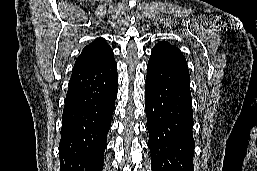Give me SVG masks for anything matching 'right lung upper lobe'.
Segmentation results:
<instances>
[{"mask_svg":"<svg viewBox=\"0 0 257 171\" xmlns=\"http://www.w3.org/2000/svg\"><path fill=\"white\" fill-rule=\"evenodd\" d=\"M114 58L113 50L103 38H97L85 46L76 59L75 67H84L105 63Z\"/></svg>","mask_w":257,"mask_h":171,"instance_id":"right-lung-upper-lobe-1","label":"right lung upper lobe"}]
</instances>
